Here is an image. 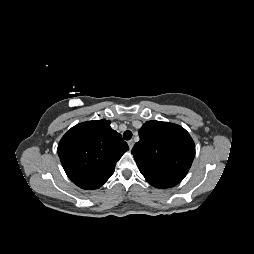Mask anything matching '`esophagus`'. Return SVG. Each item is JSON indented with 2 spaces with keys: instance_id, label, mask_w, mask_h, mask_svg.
<instances>
[{
  "instance_id": "34e87169",
  "label": "esophagus",
  "mask_w": 254,
  "mask_h": 254,
  "mask_svg": "<svg viewBox=\"0 0 254 254\" xmlns=\"http://www.w3.org/2000/svg\"><path fill=\"white\" fill-rule=\"evenodd\" d=\"M128 145L129 148L132 149V147L134 146V141L133 140L128 141Z\"/></svg>"
}]
</instances>
